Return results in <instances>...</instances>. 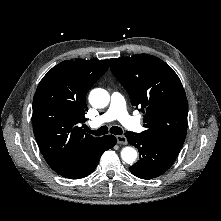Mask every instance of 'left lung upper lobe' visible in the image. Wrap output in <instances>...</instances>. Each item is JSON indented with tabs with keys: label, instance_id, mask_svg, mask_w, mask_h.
I'll return each instance as SVG.
<instances>
[{
	"label": "left lung upper lobe",
	"instance_id": "5c2ea615",
	"mask_svg": "<svg viewBox=\"0 0 221 221\" xmlns=\"http://www.w3.org/2000/svg\"><path fill=\"white\" fill-rule=\"evenodd\" d=\"M110 68L127 90L132 105L144 113L146 130L140 135L182 147L187 133L188 102L173 69L148 54L110 59Z\"/></svg>",
	"mask_w": 221,
	"mask_h": 221
}]
</instances>
